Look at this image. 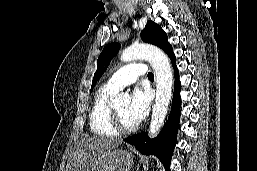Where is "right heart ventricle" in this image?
<instances>
[{"label": "right heart ventricle", "instance_id": "obj_1", "mask_svg": "<svg viewBox=\"0 0 257 171\" xmlns=\"http://www.w3.org/2000/svg\"><path fill=\"white\" fill-rule=\"evenodd\" d=\"M116 92L117 90L105 84L95 94L89 112V126L95 135L114 137L118 134L111 120V99Z\"/></svg>", "mask_w": 257, "mask_h": 171}]
</instances>
